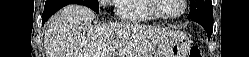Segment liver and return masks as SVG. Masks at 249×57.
<instances>
[{
  "label": "liver",
  "mask_w": 249,
  "mask_h": 57,
  "mask_svg": "<svg viewBox=\"0 0 249 57\" xmlns=\"http://www.w3.org/2000/svg\"><path fill=\"white\" fill-rule=\"evenodd\" d=\"M94 12L69 4L45 24L47 57H153L168 30L130 22L92 25Z\"/></svg>",
  "instance_id": "6515ba94"
}]
</instances>
